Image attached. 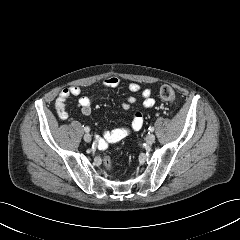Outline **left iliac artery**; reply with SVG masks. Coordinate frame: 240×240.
I'll return each instance as SVG.
<instances>
[{
  "instance_id": "1",
  "label": "left iliac artery",
  "mask_w": 240,
  "mask_h": 240,
  "mask_svg": "<svg viewBox=\"0 0 240 240\" xmlns=\"http://www.w3.org/2000/svg\"><path fill=\"white\" fill-rule=\"evenodd\" d=\"M148 130H149V132H153L154 131V127L151 126V127L148 128Z\"/></svg>"
}]
</instances>
